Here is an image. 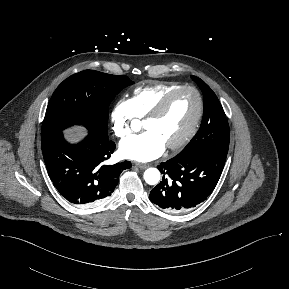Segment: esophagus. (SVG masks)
<instances>
[{
    "label": "esophagus",
    "mask_w": 289,
    "mask_h": 289,
    "mask_svg": "<svg viewBox=\"0 0 289 289\" xmlns=\"http://www.w3.org/2000/svg\"><path fill=\"white\" fill-rule=\"evenodd\" d=\"M135 165L140 169H146L149 166L148 164L143 163H136Z\"/></svg>",
    "instance_id": "obj_1"
}]
</instances>
